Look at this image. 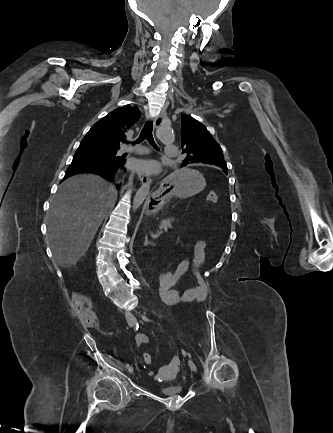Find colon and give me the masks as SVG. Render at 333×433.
Wrapping results in <instances>:
<instances>
[{
	"label": "colon",
	"instance_id": "obj_1",
	"mask_svg": "<svg viewBox=\"0 0 333 433\" xmlns=\"http://www.w3.org/2000/svg\"><path fill=\"white\" fill-rule=\"evenodd\" d=\"M207 200L212 203H216L218 200L217 194L215 192H210L207 195ZM159 284H160V292L162 293V298H167V293H165V286L171 285V280L173 279V271L172 270H163L162 273L158 276ZM166 302H169V299H166ZM72 305L75 311V314L82 325L86 327H94L96 325V317L91 310V304L89 299L81 294H74L72 297ZM179 306H185V303H179ZM143 361L145 364H152L153 358L149 353L144 354Z\"/></svg>",
	"mask_w": 333,
	"mask_h": 433
}]
</instances>
